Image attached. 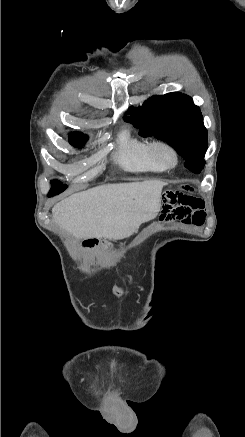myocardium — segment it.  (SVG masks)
Segmentation results:
<instances>
[{"instance_id": "obj_1", "label": "myocardium", "mask_w": 245, "mask_h": 437, "mask_svg": "<svg viewBox=\"0 0 245 437\" xmlns=\"http://www.w3.org/2000/svg\"><path fill=\"white\" fill-rule=\"evenodd\" d=\"M151 155L165 167H173L179 161L178 151L170 143L163 140H153L149 143Z\"/></svg>"}]
</instances>
